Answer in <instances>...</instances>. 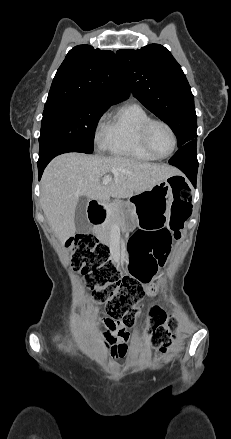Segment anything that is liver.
Segmentation results:
<instances>
[{
	"label": "liver",
	"mask_w": 231,
	"mask_h": 439,
	"mask_svg": "<svg viewBox=\"0 0 231 439\" xmlns=\"http://www.w3.org/2000/svg\"><path fill=\"white\" fill-rule=\"evenodd\" d=\"M111 172L114 180L101 184ZM180 172L166 164L144 163L126 157H97L67 153L54 158L41 179V204L55 235L63 242L76 232L75 209L80 196L106 201L128 198L151 189Z\"/></svg>",
	"instance_id": "1"
}]
</instances>
